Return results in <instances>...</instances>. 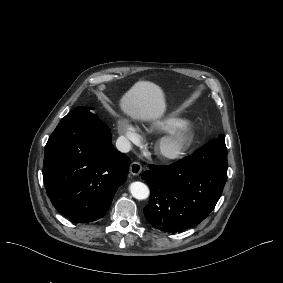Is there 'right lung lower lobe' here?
I'll return each mask as SVG.
<instances>
[{"instance_id": "right-lung-lower-lobe-1", "label": "right lung lower lobe", "mask_w": 283, "mask_h": 283, "mask_svg": "<svg viewBox=\"0 0 283 283\" xmlns=\"http://www.w3.org/2000/svg\"><path fill=\"white\" fill-rule=\"evenodd\" d=\"M129 165L113 147L106 124L59 123L45 147L44 185L60 213L88 223L106 214Z\"/></svg>"}]
</instances>
